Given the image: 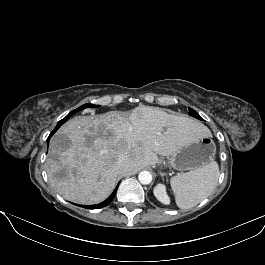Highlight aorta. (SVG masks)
<instances>
[{"mask_svg": "<svg viewBox=\"0 0 265 265\" xmlns=\"http://www.w3.org/2000/svg\"><path fill=\"white\" fill-rule=\"evenodd\" d=\"M141 184L147 185L152 181V174L149 171H141L138 175Z\"/></svg>", "mask_w": 265, "mask_h": 265, "instance_id": "obj_1", "label": "aorta"}]
</instances>
